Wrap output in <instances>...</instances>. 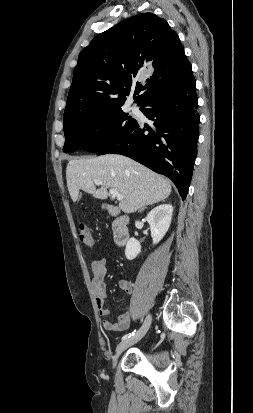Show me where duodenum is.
<instances>
[{
    "label": "duodenum",
    "instance_id": "obj_1",
    "mask_svg": "<svg viewBox=\"0 0 253 413\" xmlns=\"http://www.w3.org/2000/svg\"><path fill=\"white\" fill-rule=\"evenodd\" d=\"M109 212L116 216L113 222V237L114 241L119 246H124L127 244L130 233H129V217L125 214H120L119 211L110 206L108 207Z\"/></svg>",
    "mask_w": 253,
    "mask_h": 413
}]
</instances>
